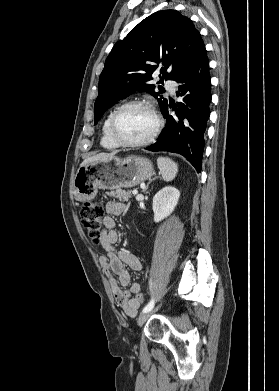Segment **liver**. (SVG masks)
<instances>
[{"label": "liver", "instance_id": "6515ba94", "mask_svg": "<svg viewBox=\"0 0 279 391\" xmlns=\"http://www.w3.org/2000/svg\"><path fill=\"white\" fill-rule=\"evenodd\" d=\"M116 155L115 152H112V153H99L97 155H94V156H91V157H88L86 158L80 165V167L82 166H86L92 162H96V161H105V160H109L111 158H114Z\"/></svg>", "mask_w": 279, "mask_h": 391}]
</instances>
